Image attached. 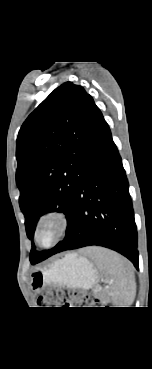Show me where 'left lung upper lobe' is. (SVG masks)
Instances as JSON below:
<instances>
[{
  "label": "left lung upper lobe",
  "instance_id": "left-lung-upper-lobe-1",
  "mask_svg": "<svg viewBox=\"0 0 152 369\" xmlns=\"http://www.w3.org/2000/svg\"><path fill=\"white\" fill-rule=\"evenodd\" d=\"M85 89L72 82L56 88L25 120L17 137L16 183L26 232L33 238L36 223L47 212L66 214L70 231L76 217V191L83 177V155L100 114ZM37 252L31 264L55 254Z\"/></svg>",
  "mask_w": 152,
  "mask_h": 369
}]
</instances>
